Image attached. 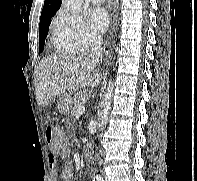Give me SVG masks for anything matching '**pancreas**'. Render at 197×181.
<instances>
[{
	"mask_svg": "<svg viewBox=\"0 0 197 181\" xmlns=\"http://www.w3.org/2000/svg\"><path fill=\"white\" fill-rule=\"evenodd\" d=\"M85 95H86L85 92H79L75 94L74 101L71 105L70 112H69L70 118H74L77 115L78 107L83 105L80 99L81 97Z\"/></svg>",
	"mask_w": 197,
	"mask_h": 181,
	"instance_id": "1",
	"label": "pancreas"
}]
</instances>
